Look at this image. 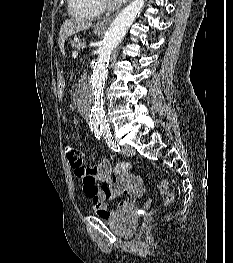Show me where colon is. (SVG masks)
I'll list each match as a JSON object with an SVG mask.
<instances>
[{
    "mask_svg": "<svg viewBox=\"0 0 233 263\" xmlns=\"http://www.w3.org/2000/svg\"><path fill=\"white\" fill-rule=\"evenodd\" d=\"M65 154L67 157V160L71 166L72 169H74L75 173L79 176H84L89 173V169L85 167L84 164V153L79 148L73 146V145H67L65 147ZM123 165H119L118 169L123 170ZM168 189V183L166 180L162 181L159 185V191L161 194H165ZM175 199V193H170L167 196L166 204H171Z\"/></svg>",
    "mask_w": 233,
    "mask_h": 263,
    "instance_id": "1",
    "label": "colon"
}]
</instances>
